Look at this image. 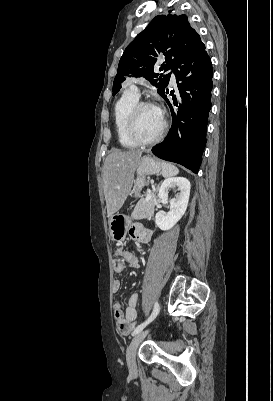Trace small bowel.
Masks as SVG:
<instances>
[{
    "label": "small bowel",
    "mask_w": 273,
    "mask_h": 401,
    "mask_svg": "<svg viewBox=\"0 0 273 401\" xmlns=\"http://www.w3.org/2000/svg\"><path fill=\"white\" fill-rule=\"evenodd\" d=\"M151 235L149 228L133 227L129 229V236L136 239H145ZM126 265L137 269L139 267L138 257L121 247L116 248L113 259V269L117 274L123 273ZM121 289V281L115 279L112 283L113 292H119ZM140 296L138 293H132L127 302L125 309H122L119 303L114 306V317L117 330L122 334H128L134 327L138 316V304Z\"/></svg>",
    "instance_id": "c3829d8e"
}]
</instances>
